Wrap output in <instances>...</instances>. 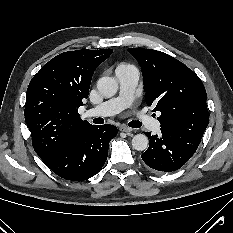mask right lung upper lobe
<instances>
[{"label": "right lung upper lobe", "instance_id": "1", "mask_svg": "<svg viewBox=\"0 0 233 233\" xmlns=\"http://www.w3.org/2000/svg\"><path fill=\"white\" fill-rule=\"evenodd\" d=\"M112 49L77 50L57 55L32 78L26 96L25 121L32 145L42 160L59 152L91 127L78 108L87 99L93 73Z\"/></svg>", "mask_w": 233, "mask_h": 233}]
</instances>
